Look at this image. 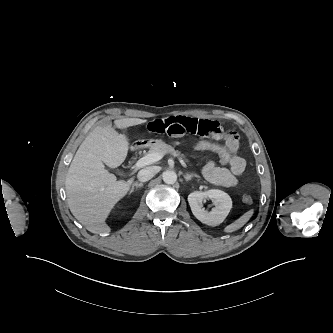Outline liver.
<instances>
[{"label":"liver","instance_id":"6515ba94","mask_svg":"<svg viewBox=\"0 0 333 333\" xmlns=\"http://www.w3.org/2000/svg\"><path fill=\"white\" fill-rule=\"evenodd\" d=\"M146 123L138 118L115 120L119 129ZM129 142L111 125L97 126L79 146L65 178L67 203L73 216L95 234L111 231L106 224L115 204L129 191L133 178L117 180L105 169L120 166L128 153Z\"/></svg>","mask_w":333,"mask_h":333}]
</instances>
